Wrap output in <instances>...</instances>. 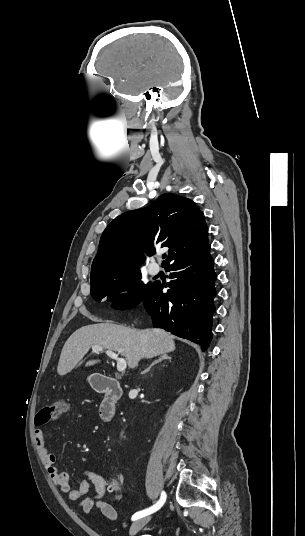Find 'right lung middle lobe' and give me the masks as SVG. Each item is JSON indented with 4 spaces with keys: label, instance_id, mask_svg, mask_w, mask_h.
<instances>
[{
    "label": "right lung middle lobe",
    "instance_id": "dd1d6c3e",
    "mask_svg": "<svg viewBox=\"0 0 305 536\" xmlns=\"http://www.w3.org/2000/svg\"><path fill=\"white\" fill-rule=\"evenodd\" d=\"M140 270H134L123 275L91 282V295L100 302L107 297V301H113L115 309H130L139 304L152 286L151 283L143 284ZM122 291L128 293L121 294Z\"/></svg>",
    "mask_w": 305,
    "mask_h": 536
}]
</instances>
